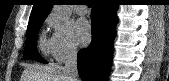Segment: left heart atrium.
Returning a JSON list of instances; mask_svg holds the SVG:
<instances>
[{"instance_id":"left-heart-atrium-1","label":"left heart atrium","mask_w":169,"mask_h":81,"mask_svg":"<svg viewBox=\"0 0 169 81\" xmlns=\"http://www.w3.org/2000/svg\"><path fill=\"white\" fill-rule=\"evenodd\" d=\"M75 37L79 44L84 45L91 37L90 24L86 19H79L74 24Z\"/></svg>"}]
</instances>
